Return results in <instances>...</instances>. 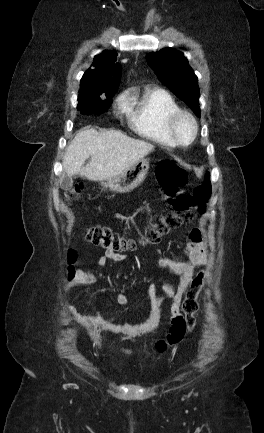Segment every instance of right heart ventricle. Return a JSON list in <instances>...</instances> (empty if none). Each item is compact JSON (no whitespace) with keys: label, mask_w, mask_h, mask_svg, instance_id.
Segmentation results:
<instances>
[{"label":"right heart ventricle","mask_w":264,"mask_h":433,"mask_svg":"<svg viewBox=\"0 0 264 433\" xmlns=\"http://www.w3.org/2000/svg\"><path fill=\"white\" fill-rule=\"evenodd\" d=\"M176 110L179 106L175 99L161 89L145 90L127 97L129 127L137 135L165 146L176 145L166 130L167 117Z\"/></svg>","instance_id":"1"}]
</instances>
